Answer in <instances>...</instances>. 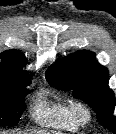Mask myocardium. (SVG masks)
Listing matches in <instances>:
<instances>
[{"label":"myocardium","instance_id":"1","mask_svg":"<svg viewBox=\"0 0 116 134\" xmlns=\"http://www.w3.org/2000/svg\"><path fill=\"white\" fill-rule=\"evenodd\" d=\"M67 109L71 117L78 124H85L91 119V110L87 104L80 100H70Z\"/></svg>","mask_w":116,"mask_h":134}]
</instances>
